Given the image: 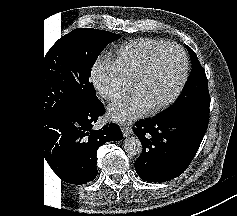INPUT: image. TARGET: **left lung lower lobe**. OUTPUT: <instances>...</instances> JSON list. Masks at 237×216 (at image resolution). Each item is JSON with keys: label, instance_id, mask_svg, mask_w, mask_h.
<instances>
[{"label": "left lung lower lobe", "instance_id": "1", "mask_svg": "<svg viewBox=\"0 0 237 216\" xmlns=\"http://www.w3.org/2000/svg\"><path fill=\"white\" fill-rule=\"evenodd\" d=\"M206 129L182 118L160 115L138 121L133 131L143 147L135 161L139 177L161 183L181 175L196 155Z\"/></svg>", "mask_w": 237, "mask_h": 216}]
</instances>
